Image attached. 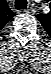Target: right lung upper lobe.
Instances as JSON below:
<instances>
[{"mask_svg":"<svg viewBox=\"0 0 51 74\" xmlns=\"http://www.w3.org/2000/svg\"><path fill=\"white\" fill-rule=\"evenodd\" d=\"M15 16V13H13L8 5L4 7V17H3V26L13 17Z\"/></svg>","mask_w":51,"mask_h":74,"instance_id":"cb5924a9","label":"right lung upper lobe"}]
</instances>
